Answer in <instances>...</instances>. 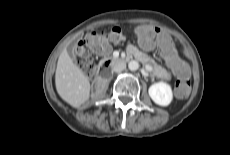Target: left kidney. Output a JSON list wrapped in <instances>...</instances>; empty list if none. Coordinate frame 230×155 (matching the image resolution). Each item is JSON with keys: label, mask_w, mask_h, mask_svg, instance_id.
Instances as JSON below:
<instances>
[{"label": "left kidney", "mask_w": 230, "mask_h": 155, "mask_svg": "<svg viewBox=\"0 0 230 155\" xmlns=\"http://www.w3.org/2000/svg\"><path fill=\"white\" fill-rule=\"evenodd\" d=\"M148 92L151 99L160 106H167L172 101V89L167 83H155L150 86Z\"/></svg>", "instance_id": "left-kidney-1"}]
</instances>
